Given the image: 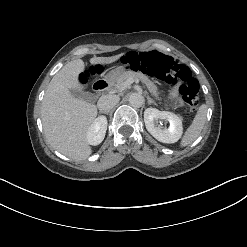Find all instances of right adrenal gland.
I'll use <instances>...</instances> for the list:
<instances>
[{"label": "right adrenal gland", "instance_id": "1", "mask_svg": "<svg viewBox=\"0 0 247 247\" xmlns=\"http://www.w3.org/2000/svg\"><path fill=\"white\" fill-rule=\"evenodd\" d=\"M100 113H103V114L108 115L109 114V111H100Z\"/></svg>", "mask_w": 247, "mask_h": 247}]
</instances>
